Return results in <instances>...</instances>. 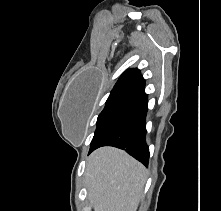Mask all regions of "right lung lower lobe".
Wrapping results in <instances>:
<instances>
[{"label":"right lung lower lobe","mask_w":221,"mask_h":211,"mask_svg":"<svg viewBox=\"0 0 221 211\" xmlns=\"http://www.w3.org/2000/svg\"><path fill=\"white\" fill-rule=\"evenodd\" d=\"M147 95L138 92L122 109L112 123L90 145L89 154L101 146H114L125 150L148 166L149 148L146 144Z\"/></svg>","instance_id":"right-lung-lower-lobe-1"}]
</instances>
